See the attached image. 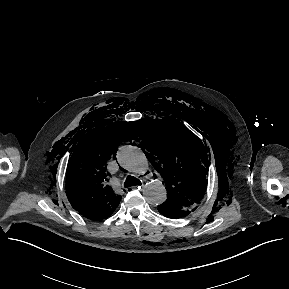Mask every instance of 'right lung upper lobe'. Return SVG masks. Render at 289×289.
Instances as JSON below:
<instances>
[{
	"label": "right lung upper lobe",
	"mask_w": 289,
	"mask_h": 289,
	"mask_svg": "<svg viewBox=\"0 0 289 289\" xmlns=\"http://www.w3.org/2000/svg\"><path fill=\"white\" fill-rule=\"evenodd\" d=\"M129 126L128 122L117 121L91 130L70 158L66 194L72 207L90 220L109 217L120 203L121 196L108 185L106 162L131 133Z\"/></svg>",
	"instance_id": "obj_1"
}]
</instances>
